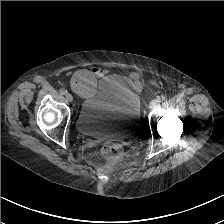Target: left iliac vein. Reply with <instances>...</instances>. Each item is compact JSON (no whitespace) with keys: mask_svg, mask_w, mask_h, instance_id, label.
<instances>
[{"mask_svg":"<svg viewBox=\"0 0 224 224\" xmlns=\"http://www.w3.org/2000/svg\"><path fill=\"white\" fill-rule=\"evenodd\" d=\"M158 101L157 100H152L149 104V108L153 109L157 106Z\"/></svg>","mask_w":224,"mask_h":224,"instance_id":"4c4485c4","label":"left iliac vein"}]
</instances>
